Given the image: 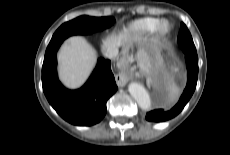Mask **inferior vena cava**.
Listing matches in <instances>:
<instances>
[{"mask_svg":"<svg viewBox=\"0 0 230 155\" xmlns=\"http://www.w3.org/2000/svg\"><path fill=\"white\" fill-rule=\"evenodd\" d=\"M118 55V48H109L105 52V56L109 59H114Z\"/></svg>","mask_w":230,"mask_h":155,"instance_id":"602c4592","label":"inferior vena cava"}]
</instances>
